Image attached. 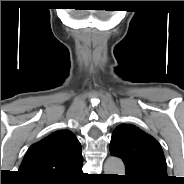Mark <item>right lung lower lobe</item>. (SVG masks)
I'll use <instances>...</instances> for the list:
<instances>
[{
  "label": "right lung lower lobe",
  "mask_w": 184,
  "mask_h": 184,
  "mask_svg": "<svg viewBox=\"0 0 184 184\" xmlns=\"http://www.w3.org/2000/svg\"><path fill=\"white\" fill-rule=\"evenodd\" d=\"M82 174V165L76 169L71 175L67 178L54 182H36V184H75L77 182V178Z\"/></svg>",
  "instance_id": "obj_1"
}]
</instances>
